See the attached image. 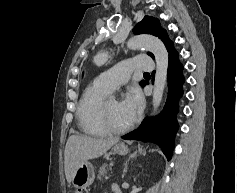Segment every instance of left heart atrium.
Returning <instances> with one entry per match:
<instances>
[{"label": "left heart atrium", "mask_w": 237, "mask_h": 193, "mask_svg": "<svg viewBox=\"0 0 237 193\" xmlns=\"http://www.w3.org/2000/svg\"><path fill=\"white\" fill-rule=\"evenodd\" d=\"M121 105L131 123L134 122L140 116L143 109V98L140 91L137 88H132L121 102Z\"/></svg>", "instance_id": "left-heart-atrium-1"}]
</instances>
